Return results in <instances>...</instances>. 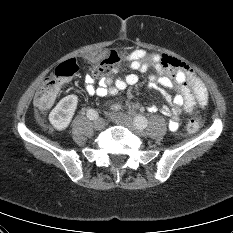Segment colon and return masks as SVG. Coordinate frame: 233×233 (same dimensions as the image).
Returning a JSON list of instances; mask_svg holds the SVG:
<instances>
[{"label": "colon", "mask_w": 233, "mask_h": 233, "mask_svg": "<svg viewBox=\"0 0 233 233\" xmlns=\"http://www.w3.org/2000/svg\"><path fill=\"white\" fill-rule=\"evenodd\" d=\"M119 62L120 56L117 53H112L107 59L94 67L93 75L101 76L109 74ZM77 71L78 66L73 59L65 61L57 66L53 75L49 76L43 82L35 94L34 105L39 113H44L52 107L63 82L75 75ZM200 127V120L193 117L188 121L187 131L189 133H195Z\"/></svg>", "instance_id": "5ec220e1"}]
</instances>
